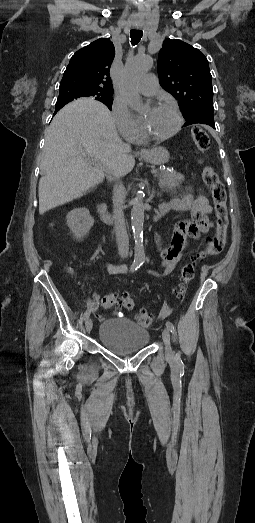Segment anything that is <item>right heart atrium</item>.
I'll return each mask as SVG.
<instances>
[{
    "label": "right heart atrium",
    "mask_w": 255,
    "mask_h": 523,
    "mask_svg": "<svg viewBox=\"0 0 255 523\" xmlns=\"http://www.w3.org/2000/svg\"><path fill=\"white\" fill-rule=\"evenodd\" d=\"M111 118L123 139L129 141L138 134V122L123 100L114 99L111 106Z\"/></svg>",
    "instance_id": "obj_1"
}]
</instances>
